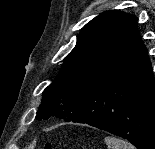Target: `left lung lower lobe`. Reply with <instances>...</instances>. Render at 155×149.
Masks as SVG:
<instances>
[{"mask_svg": "<svg viewBox=\"0 0 155 149\" xmlns=\"http://www.w3.org/2000/svg\"><path fill=\"white\" fill-rule=\"evenodd\" d=\"M154 86L151 62L136 27L112 65L64 121L108 131L138 149H155Z\"/></svg>", "mask_w": 155, "mask_h": 149, "instance_id": "0a47b994", "label": "left lung lower lobe"}]
</instances>
